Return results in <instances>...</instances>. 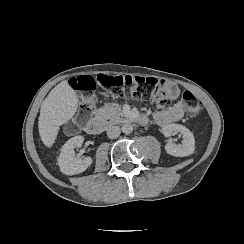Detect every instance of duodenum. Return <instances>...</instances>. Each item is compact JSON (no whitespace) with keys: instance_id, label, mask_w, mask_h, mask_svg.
<instances>
[{"instance_id":"1","label":"duodenum","mask_w":244,"mask_h":244,"mask_svg":"<svg viewBox=\"0 0 244 244\" xmlns=\"http://www.w3.org/2000/svg\"><path fill=\"white\" fill-rule=\"evenodd\" d=\"M135 122L139 123L140 125H145L147 123V117L143 114L135 115L133 118ZM85 130L87 133L91 135H99L102 133L103 130V120L102 119H95L91 118L85 123Z\"/></svg>"}]
</instances>
